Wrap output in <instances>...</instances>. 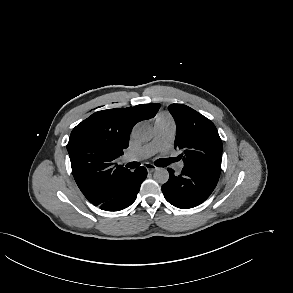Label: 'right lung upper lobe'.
Wrapping results in <instances>:
<instances>
[{
  "label": "right lung upper lobe",
  "mask_w": 293,
  "mask_h": 293,
  "mask_svg": "<svg viewBox=\"0 0 293 293\" xmlns=\"http://www.w3.org/2000/svg\"><path fill=\"white\" fill-rule=\"evenodd\" d=\"M160 104L102 110L92 114L71 132L69 152L74 179L95 206L112 199L131 171L115 164L128 147L133 126L155 116Z\"/></svg>",
  "instance_id": "cb5924a9"
}]
</instances>
